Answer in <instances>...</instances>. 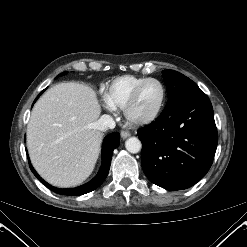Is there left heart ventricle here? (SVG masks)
Listing matches in <instances>:
<instances>
[{
  "mask_svg": "<svg viewBox=\"0 0 247 247\" xmlns=\"http://www.w3.org/2000/svg\"><path fill=\"white\" fill-rule=\"evenodd\" d=\"M162 97V89L159 84L150 82L140 91L135 103L130 109V115L134 119H143L155 112Z\"/></svg>",
  "mask_w": 247,
  "mask_h": 247,
  "instance_id": "1",
  "label": "left heart ventricle"
}]
</instances>
